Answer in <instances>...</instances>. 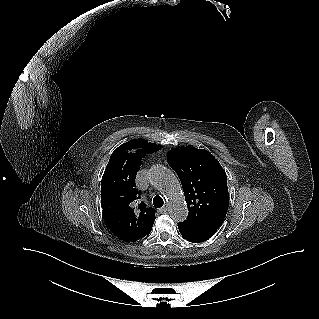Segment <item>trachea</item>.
Segmentation results:
<instances>
[{
  "instance_id": "obj_1",
  "label": "trachea",
  "mask_w": 319,
  "mask_h": 319,
  "mask_svg": "<svg viewBox=\"0 0 319 319\" xmlns=\"http://www.w3.org/2000/svg\"><path fill=\"white\" fill-rule=\"evenodd\" d=\"M153 204L156 208H161L164 204V201L163 199L159 196V195H156L154 198H153Z\"/></svg>"
}]
</instances>
